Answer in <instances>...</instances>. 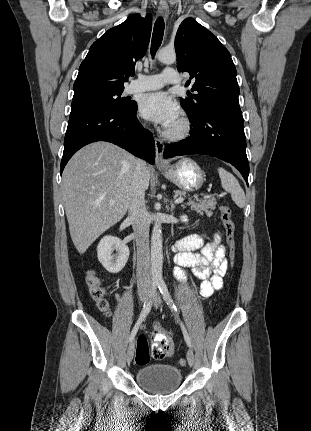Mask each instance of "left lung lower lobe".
<instances>
[{
  "label": "left lung lower lobe",
  "instance_id": "obj_1",
  "mask_svg": "<svg viewBox=\"0 0 311 431\" xmlns=\"http://www.w3.org/2000/svg\"><path fill=\"white\" fill-rule=\"evenodd\" d=\"M192 123L191 137L168 145L163 156L206 154L231 163L248 185L249 163L246 155V138L239 105L215 106Z\"/></svg>",
  "mask_w": 311,
  "mask_h": 431
}]
</instances>
